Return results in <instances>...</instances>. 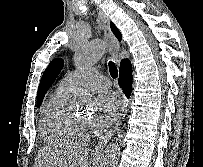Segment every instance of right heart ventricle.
I'll return each mask as SVG.
<instances>
[{
  "instance_id": "obj_1",
  "label": "right heart ventricle",
  "mask_w": 203,
  "mask_h": 167,
  "mask_svg": "<svg viewBox=\"0 0 203 167\" xmlns=\"http://www.w3.org/2000/svg\"><path fill=\"white\" fill-rule=\"evenodd\" d=\"M71 88L60 84L44 104L41 117L43 138L52 144L75 140L81 131L77 117L68 106Z\"/></svg>"
}]
</instances>
